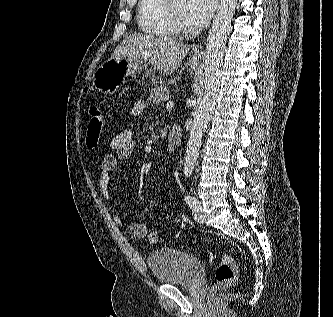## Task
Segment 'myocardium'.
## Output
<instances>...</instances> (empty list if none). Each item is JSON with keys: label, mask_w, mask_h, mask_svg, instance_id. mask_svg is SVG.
Instances as JSON below:
<instances>
[{"label": "myocardium", "mask_w": 333, "mask_h": 317, "mask_svg": "<svg viewBox=\"0 0 333 317\" xmlns=\"http://www.w3.org/2000/svg\"><path fill=\"white\" fill-rule=\"evenodd\" d=\"M172 0H165L164 9L169 21L177 30H184L186 29V23L181 18H179L172 9L171 6Z\"/></svg>", "instance_id": "myocardium-1"}]
</instances>
